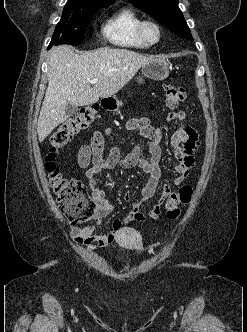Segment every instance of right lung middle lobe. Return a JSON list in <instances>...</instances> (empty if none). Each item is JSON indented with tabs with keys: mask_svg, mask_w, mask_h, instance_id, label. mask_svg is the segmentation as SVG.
<instances>
[{
	"mask_svg": "<svg viewBox=\"0 0 247 332\" xmlns=\"http://www.w3.org/2000/svg\"><path fill=\"white\" fill-rule=\"evenodd\" d=\"M79 5L66 3L62 18L57 24L49 47L53 45L69 44L80 45L83 42L89 20L99 9L109 6Z\"/></svg>",
	"mask_w": 247,
	"mask_h": 332,
	"instance_id": "obj_1",
	"label": "right lung middle lobe"
}]
</instances>
